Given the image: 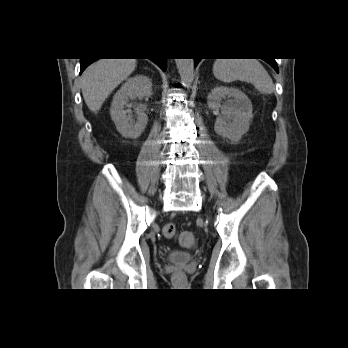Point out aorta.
<instances>
[{"instance_id":"1","label":"aorta","mask_w":348,"mask_h":348,"mask_svg":"<svg viewBox=\"0 0 348 348\" xmlns=\"http://www.w3.org/2000/svg\"><path fill=\"white\" fill-rule=\"evenodd\" d=\"M178 72L180 74L181 83L185 87H189L194 78V60L193 59H175Z\"/></svg>"}]
</instances>
